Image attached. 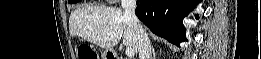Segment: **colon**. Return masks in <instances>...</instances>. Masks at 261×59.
<instances>
[{"label": "colon", "mask_w": 261, "mask_h": 59, "mask_svg": "<svg viewBox=\"0 0 261 59\" xmlns=\"http://www.w3.org/2000/svg\"><path fill=\"white\" fill-rule=\"evenodd\" d=\"M79 59H97L95 51L88 46L81 47L78 51Z\"/></svg>", "instance_id": "5ec220e1"}]
</instances>
